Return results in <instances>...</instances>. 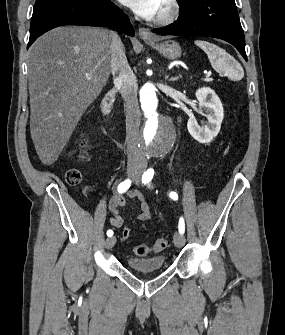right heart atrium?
I'll use <instances>...</instances> for the list:
<instances>
[{"mask_svg": "<svg viewBox=\"0 0 285 335\" xmlns=\"http://www.w3.org/2000/svg\"><path fill=\"white\" fill-rule=\"evenodd\" d=\"M117 9H118L119 11H122V10H123L122 7H120V6H118Z\"/></svg>", "mask_w": 285, "mask_h": 335, "instance_id": "d8ad5b80", "label": "right heart atrium"}]
</instances>
